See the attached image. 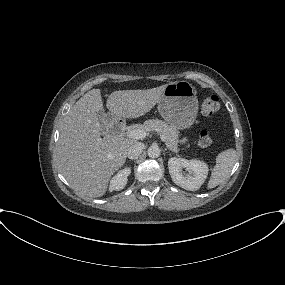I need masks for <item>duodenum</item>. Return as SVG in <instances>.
Listing matches in <instances>:
<instances>
[{
    "label": "duodenum",
    "mask_w": 285,
    "mask_h": 285,
    "mask_svg": "<svg viewBox=\"0 0 285 285\" xmlns=\"http://www.w3.org/2000/svg\"><path fill=\"white\" fill-rule=\"evenodd\" d=\"M125 131V124L122 120H114L110 125V133L114 136H120Z\"/></svg>",
    "instance_id": "duodenum-1"
}]
</instances>
